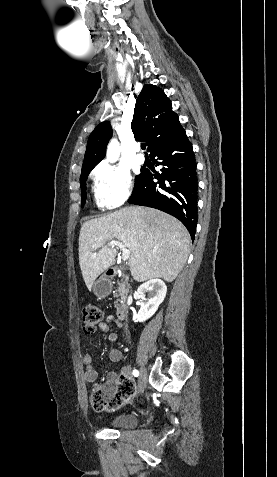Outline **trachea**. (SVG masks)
<instances>
[{"label":"trachea","instance_id":"obj_1","mask_svg":"<svg viewBox=\"0 0 277 477\" xmlns=\"http://www.w3.org/2000/svg\"><path fill=\"white\" fill-rule=\"evenodd\" d=\"M145 148H146V144H145V143H142V144H141V149H142V150H145Z\"/></svg>","mask_w":277,"mask_h":477}]
</instances>
